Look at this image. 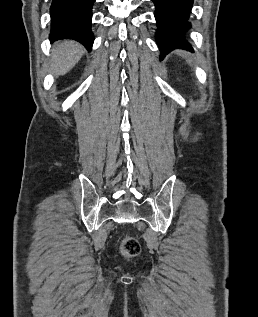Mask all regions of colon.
<instances>
[{
	"instance_id": "obj_1",
	"label": "colon",
	"mask_w": 258,
	"mask_h": 317,
	"mask_svg": "<svg viewBox=\"0 0 258 317\" xmlns=\"http://www.w3.org/2000/svg\"><path fill=\"white\" fill-rule=\"evenodd\" d=\"M121 252L127 257H134L140 252L138 241L132 237H126L121 243Z\"/></svg>"
}]
</instances>
